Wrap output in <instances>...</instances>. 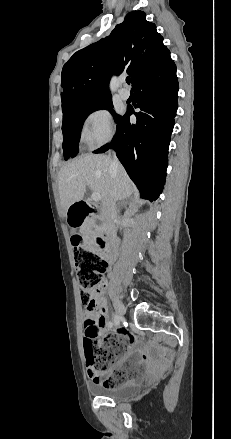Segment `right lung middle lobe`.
<instances>
[{
	"mask_svg": "<svg viewBox=\"0 0 231 439\" xmlns=\"http://www.w3.org/2000/svg\"><path fill=\"white\" fill-rule=\"evenodd\" d=\"M111 98L93 100L75 105L63 111V154L65 160L73 158L78 153V143L80 139L81 129L88 115L99 109H107L111 112L114 120L117 122L121 117L113 110Z\"/></svg>",
	"mask_w": 231,
	"mask_h": 439,
	"instance_id": "obj_1",
	"label": "right lung middle lobe"
}]
</instances>
